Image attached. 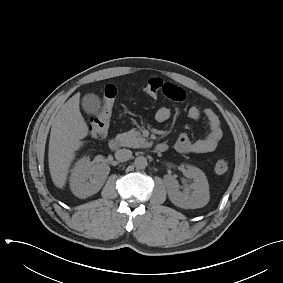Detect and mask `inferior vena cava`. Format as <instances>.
<instances>
[{
	"label": "inferior vena cava",
	"instance_id": "1",
	"mask_svg": "<svg viewBox=\"0 0 283 283\" xmlns=\"http://www.w3.org/2000/svg\"><path fill=\"white\" fill-rule=\"evenodd\" d=\"M132 157V151L129 149H120L115 152V158L120 161H128Z\"/></svg>",
	"mask_w": 283,
	"mask_h": 283
}]
</instances>
